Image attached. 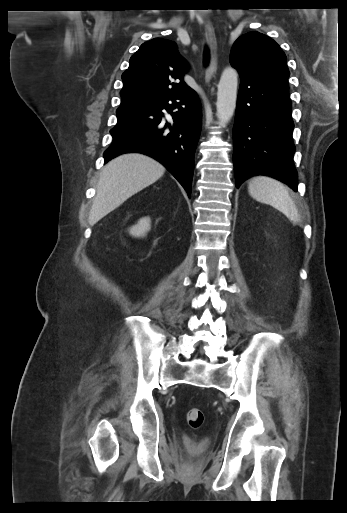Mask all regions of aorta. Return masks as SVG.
I'll return each mask as SVG.
<instances>
[{"instance_id": "1", "label": "aorta", "mask_w": 347, "mask_h": 513, "mask_svg": "<svg viewBox=\"0 0 347 513\" xmlns=\"http://www.w3.org/2000/svg\"><path fill=\"white\" fill-rule=\"evenodd\" d=\"M238 73L232 67L222 72L217 92V117L219 124L225 126L232 118L237 99Z\"/></svg>"}]
</instances>
